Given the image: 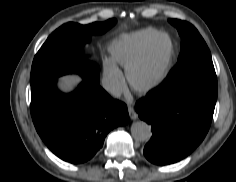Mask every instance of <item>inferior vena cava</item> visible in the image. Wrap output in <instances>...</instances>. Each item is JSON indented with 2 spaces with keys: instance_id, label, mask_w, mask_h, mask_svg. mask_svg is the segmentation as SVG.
<instances>
[{
  "instance_id": "obj_1",
  "label": "inferior vena cava",
  "mask_w": 236,
  "mask_h": 182,
  "mask_svg": "<svg viewBox=\"0 0 236 182\" xmlns=\"http://www.w3.org/2000/svg\"><path fill=\"white\" fill-rule=\"evenodd\" d=\"M102 87L114 97H119L122 93L120 83L115 79L104 78Z\"/></svg>"
}]
</instances>
